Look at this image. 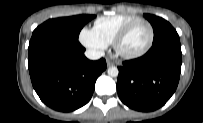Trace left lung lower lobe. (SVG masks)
<instances>
[{
  "label": "left lung lower lobe",
  "instance_id": "0a47b994",
  "mask_svg": "<svg viewBox=\"0 0 203 123\" xmlns=\"http://www.w3.org/2000/svg\"><path fill=\"white\" fill-rule=\"evenodd\" d=\"M179 36L154 45L142 57L118 67L117 92L121 101L138 111H154L174 94L181 72Z\"/></svg>",
  "mask_w": 203,
  "mask_h": 123
}]
</instances>
